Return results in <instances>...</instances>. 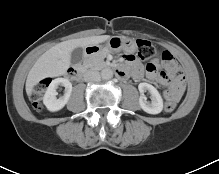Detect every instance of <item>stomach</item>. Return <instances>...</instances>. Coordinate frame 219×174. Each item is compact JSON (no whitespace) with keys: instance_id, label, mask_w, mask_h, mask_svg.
I'll return each instance as SVG.
<instances>
[{"instance_id":"1","label":"stomach","mask_w":219,"mask_h":174,"mask_svg":"<svg viewBox=\"0 0 219 174\" xmlns=\"http://www.w3.org/2000/svg\"><path fill=\"white\" fill-rule=\"evenodd\" d=\"M90 47L97 48L99 52L108 51L118 53L123 51L134 53L137 50V44L134 40L120 36H113L105 44L91 45Z\"/></svg>"}]
</instances>
